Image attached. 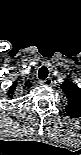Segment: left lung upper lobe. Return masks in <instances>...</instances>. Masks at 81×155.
<instances>
[{"instance_id": "1", "label": "left lung upper lobe", "mask_w": 81, "mask_h": 155, "mask_svg": "<svg viewBox=\"0 0 81 155\" xmlns=\"http://www.w3.org/2000/svg\"><path fill=\"white\" fill-rule=\"evenodd\" d=\"M60 87L67 98V114L71 118L81 117V89L70 80H66Z\"/></svg>"}]
</instances>
